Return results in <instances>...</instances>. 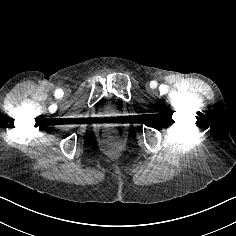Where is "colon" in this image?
Wrapping results in <instances>:
<instances>
[{
	"label": "colon",
	"instance_id": "colon-1",
	"mask_svg": "<svg viewBox=\"0 0 236 236\" xmlns=\"http://www.w3.org/2000/svg\"><path fill=\"white\" fill-rule=\"evenodd\" d=\"M118 149H119V146L115 143L110 146V150L112 152H116Z\"/></svg>",
	"mask_w": 236,
	"mask_h": 236
}]
</instances>
